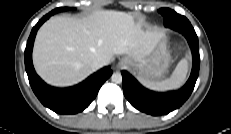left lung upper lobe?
Returning a JSON list of instances; mask_svg holds the SVG:
<instances>
[{"instance_id":"5c2ea615","label":"left lung upper lobe","mask_w":231,"mask_h":134,"mask_svg":"<svg viewBox=\"0 0 231 134\" xmlns=\"http://www.w3.org/2000/svg\"><path fill=\"white\" fill-rule=\"evenodd\" d=\"M160 14L164 17V25L166 27H171L174 20L172 19L173 10L169 8H161L158 10Z\"/></svg>"}]
</instances>
